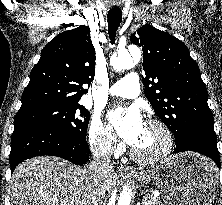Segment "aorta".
<instances>
[{"instance_id": "762f6f07", "label": "aorta", "mask_w": 222, "mask_h": 205, "mask_svg": "<svg viewBox=\"0 0 222 205\" xmlns=\"http://www.w3.org/2000/svg\"><path fill=\"white\" fill-rule=\"evenodd\" d=\"M136 53L138 57H140V51L137 50ZM111 65L117 71L133 68L134 62L130 51L127 49L119 51L117 56L111 59ZM133 194V186L127 183L123 186L122 190L120 191L118 199H116V193H114L107 205H130Z\"/></svg>"}]
</instances>
